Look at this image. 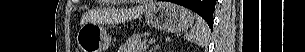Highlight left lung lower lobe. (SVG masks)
I'll return each mask as SVG.
<instances>
[{"instance_id": "0a47b994", "label": "left lung lower lobe", "mask_w": 305, "mask_h": 52, "mask_svg": "<svg viewBox=\"0 0 305 52\" xmlns=\"http://www.w3.org/2000/svg\"><path fill=\"white\" fill-rule=\"evenodd\" d=\"M176 4L183 5L185 7L190 8L191 10L198 13L201 17L203 15H211L213 14L216 0H170ZM212 30L213 24H208Z\"/></svg>"}]
</instances>
